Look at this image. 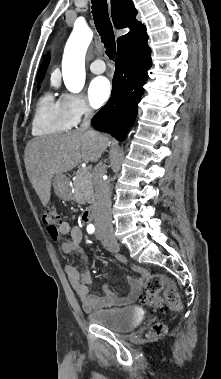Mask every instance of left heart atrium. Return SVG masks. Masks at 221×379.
I'll list each match as a JSON object with an SVG mask.
<instances>
[{"label": "left heart atrium", "mask_w": 221, "mask_h": 379, "mask_svg": "<svg viewBox=\"0 0 221 379\" xmlns=\"http://www.w3.org/2000/svg\"><path fill=\"white\" fill-rule=\"evenodd\" d=\"M112 88L109 80L105 77L95 78L89 86V98L95 107L103 105L111 96Z\"/></svg>", "instance_id": "1"}]
</instances>
